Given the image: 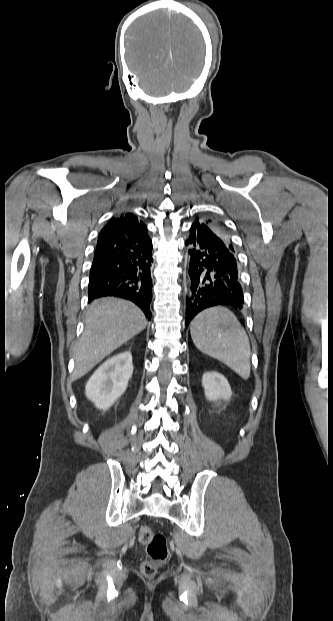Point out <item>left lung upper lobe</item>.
Returning a JSON list of instances; mask_svg holds the SVG:
<instances>
[{
  "label": "left lung upper lobe",
  "mask_w": 333,
  "mask_h": 621,
  "mask_svg": "<svg viewBox=\"0 0 333 621\" xmlns=\"http://www.w3.org/2000/svg\"><path fill=\"white\" fill-rule=\"evenodd\" d=\"M193 224H196L197 226L204 225L210 228L228 248L234 251L237 256L230 234L221 221L216 219H205L201 221L196 220Z\"/></svg>",
  "instance_id": "left-lung-upper-lobe-1"
}]
</instances>
